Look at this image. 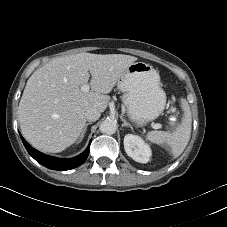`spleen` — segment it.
Returning a JSON list of instances; mask_svg holds the SVG:
<instances>
[{"label": "spleen", "instance_id": "spleen-1", "mask_svg": "<svg viewBox=\"0 0 227 227\" xmlns=\"http://www.w3.org/2000/svg\"><path fill=\"white\" fill-rule=\"evenodd\" d=\"M181 108L183 117L181 123L176 127L173 133L164 131H151L146 138L155 144L166 143L171 148V153L174 158H177L186 148L191 133V111L186 99L181 98Z\"/></svg>", "mask_w": 227, "mask_h": 227}]
</instances>
